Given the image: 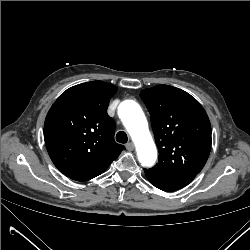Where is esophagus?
Returning a JSON list of instances; mask_svg holds the SVG:
<instances>
[{
	"mask_svg": "<svg viewBox=\"0 0 250 250\" xmlns=\"http://www.w3.org/2000/svg\"><path fill=\"white\" fill-rule=\"evenodd\" d=\"M126 149L128 151H133L134 150V144L132 142H129L127 145H126Z\"/></svg>",
	"mask_w": 250,
	"mask_h": 250,
	"instance_id": "obj_1",
	"label": "esophagus"
}]
</instances>
